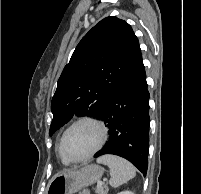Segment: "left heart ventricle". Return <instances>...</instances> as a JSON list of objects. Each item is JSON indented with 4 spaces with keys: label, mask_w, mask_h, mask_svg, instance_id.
I'll list each match as a JSON object with an SVG mask.
<instances>
[{
    "label": "left heart ventricle",
    "mask_w": 201,
    "mask_h": 194,
    "mask_svg": "<svg viewBox=\"0 0 201 194\" xmlns=\"http://www.w3.org/2000/svg\"><path fill=\"white\" fill-rule=\"evenodd\" d=\"M98 129L83 123L73 127L65 136L63 152L67 157L80 158L88 154L98 143Z\"/></svg>",
    "instance_id": "obj_1"
}]
</instances>
